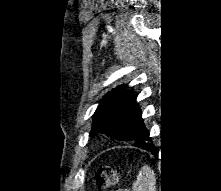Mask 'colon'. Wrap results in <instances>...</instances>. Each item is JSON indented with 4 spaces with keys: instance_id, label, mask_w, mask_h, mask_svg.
<instances>
[{
    "instance_id": "obj_1",
    "label": "colon",
    "mask_w": 221,
    "mask_h": 191,
    "mask_svg": "<svg viewBox=\"0 0 221 191\" xmlns=\"http://www.w3.org/2000/svg\"><path fill=\"white\" fill-rule=\"evenodd\" d=\"M96 180L100 187L109 188L114 186L118 181V173L110 165H105L99 169L96 174ZM114 191H127L124 189H114Z\"/></svg>"
}]
</instances>
